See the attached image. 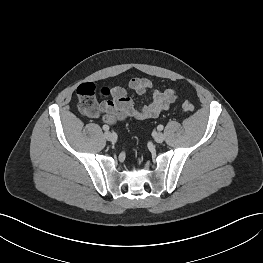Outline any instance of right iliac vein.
I'll return each instance as SVG.
<instances>
[{"instance_id":"63e3f726","label":"right iliac vein","mask_w":263,"mask_h":263,"mask_svg":"<svg viewBox=\"0 0 263 263\" xmlns=\"http://www.w3.org/2000/svg\"><path fill=\"white\" fill-rule=\"evenodd\" d=\"M104 137L108 141H113L114 140V135L111 132H108V131L104 133Z\"/></svg>"}]
</instances>
